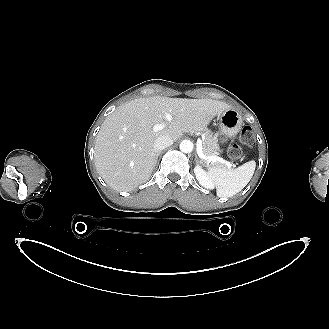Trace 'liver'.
Here are the masks:
<instances>
[{
    "instance_id": "obj_1",
    "label": "liver",
    "mask_w": 329,
    "mask_h": 329,
    "mask_svg": "<svg viewBox=\"0 0 329 329\" xmlns=\"http://www.w3.org/2000/svg\"><path fill=\"white\" fill-rule=\"evenodd\" d=\"M230 108L225 102L208 98L154 96L126 102L104 120L97 135V172L111 188L132 191L151 176L158 137L168 136L176 141L183 133L203 131L215 116ZM167 113L172 120L165 123ZM163 123L168 127L153 131L154 125Z\"/></svg>"
}]
</instances>
